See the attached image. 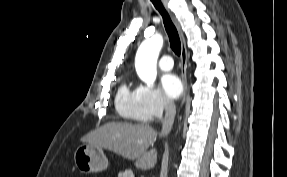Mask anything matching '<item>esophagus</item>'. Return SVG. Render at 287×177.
I'll list each match as a JSON object with an SVG mask.
<instances>
[{
    "mask_svg": "<svg viewBox=\"0 0 287 177\" xmlns=\"http://www.w3.org/2000/svg\"><path fill=\"white\" fill-rule=\"evenodd\" d=\"M165 10L168 12L173 24L175 25L180 41H181V72H182V81L184 83V97L182 101V105L185 102L186 94H187V49H186V42L184 38V34L182 32L181 26L174 16V14L168 9L167 7V0H161Z\"/></svg>",
    "mask_w": 287,
    "mask_h": 177,
    "instance_id": "obj_1",
    "label": "esophagus"
}]
</instances>
